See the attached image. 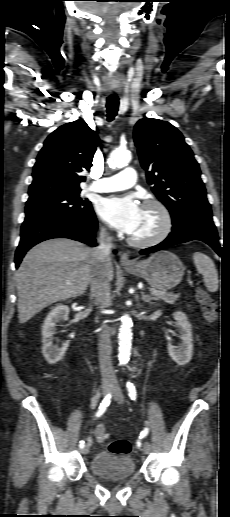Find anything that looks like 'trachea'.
I'll list each match as a JSON object with an SVG mask.
<instances>
[{"label": "trachea", "instance_id": "trachea-1", "mask_svg": "<svg viewBox=\"0 0 230 517\" xmlns=\"http://www.w3.org/2000/svg\"><path fill=\"white\" fill-rule=\"evenodd\" d=\"M119 108V98L117 96H109L106 100L107 120L111 122L117 115Z\"/></svg>", "mask_w": 230, "mask_h": 517}]
</instances>
